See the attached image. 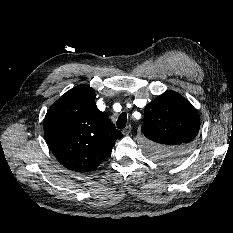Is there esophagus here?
<instances>
[{
    "mask_svg": "<svg viewBox=\"0 0 233 233\" xmlns=\"http://www.w3.org/2000/svg\"><path fill=\"white\" fill-rule=\"evenodd\" d=\"M131 130H132L131 125H128V126H126V127L124 128L123 134H124V135H129V134L131 133Z\"/></svg>",
    "mask_w": 233,
    "mask_h": 233,
    "instance_id": "1",
    "label": "esophagus"
}]
</instances>
